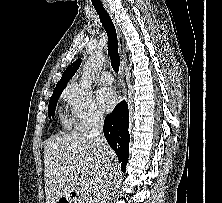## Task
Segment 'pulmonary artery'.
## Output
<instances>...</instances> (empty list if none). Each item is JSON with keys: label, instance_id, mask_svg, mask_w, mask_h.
I'll return each instance as SVG.
<instances>
[{"label": "pulmonary artery", "instance_id": "e3ab8cb5", "mask_svg": "<svg viewBox=\"0 0 222 203\" xmlns=\"http://www.w3.org/2000/svg\"><path fill=\"white\" fill-rule=\"evenodd\" d=\"M113 81L112 74L109 71H103L100 75V82L104 85H109Z\"/></svg>", "mask_w": 222, "mask_h": 203}]
</instances>
